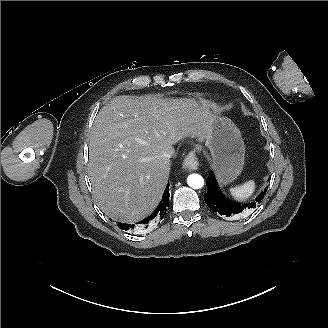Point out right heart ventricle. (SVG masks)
I'll return each instance as SVG.
<instances>
[{
    "label": "right heart ventricle",
    "instance_id": "e07e8e85",
    "mask_svg": "<svg viewBox=\"0 0 328 328\" xmlns=\"http://www.w3.org/2000/svg\"><path fill=\"white\" fill-rule=\"evenodd\" d=\"M204 111L208 108L207 104H204L202 102H196Z\"/></svg>",
    "mask_w": 328,
    "mask_h": 328
}]
</instances>
